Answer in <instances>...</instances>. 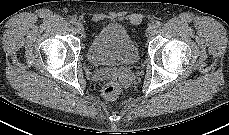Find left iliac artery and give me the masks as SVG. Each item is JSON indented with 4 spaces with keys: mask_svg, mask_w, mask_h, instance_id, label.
<instances>
[{
    "mask_svg": "<svg viewBox=\"0 0 229 135\" xmlns=\"http://www.w3.org/2000/svg\"><path fill=\"white\" fill-rule=\"evenodd\" d=\"M161 26H162V22L157 21V22H156V27L159 28V27H161Z\"/></svg>",
    "mask_w": 229,
    "mask_h": 135,
    "instance_id": "left-iliac-artery-1",
    "label": "left iliac artery"
}]
</instances>
